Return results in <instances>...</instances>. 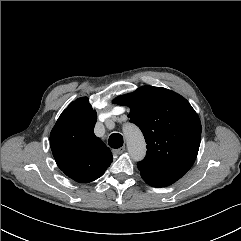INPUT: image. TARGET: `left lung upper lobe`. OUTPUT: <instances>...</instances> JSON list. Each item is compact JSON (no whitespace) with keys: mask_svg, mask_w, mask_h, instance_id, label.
<instances>
[{"mask_svg":"<svg viewBox=\"0 0 241 241\" xmlns=\"http://www.w3.org/2000/svg\"><path fill=\"white\" fill-rule=\"evenodd\" d=\"M127 105L130 122L142 131L147 153L137 166L142 176L171 185L192 167L200 146L201 122L181 95L153 86L113 101Z\"/></svg>","mask_w":241,"mask_h":241,"instance_id":"5c2ea615","label":"left lung upper lobe"}]
</instances>
